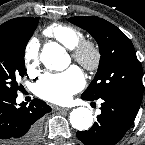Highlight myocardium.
<instances>
[{
    "mask_svg": "<svg viewBox=\"0 0 145 145\" xmlns=\"http://www.w3.org/2000/svg\"><path fill=\"white\" fill-rule=\"evenodd\" d=\"M73 59L89 72L99 69L102 62L100 45L91 39H82L72 49Z\"/></svg>",
    "mask_w": 145,
    "mask_h": 145,
    "instance_id": "f54148a6",
    "label": "myocardium"
}]
</instances>
